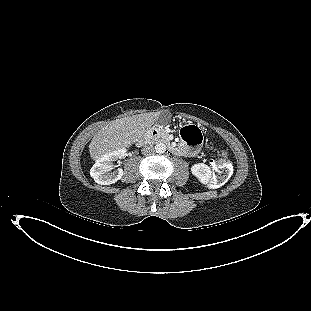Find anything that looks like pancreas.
<instances>
[{"mask_svg": "<svg viewBox=\"0 0 311 311\" xmlns=\"http://www.w3.org/2000/svg\"><path fill=\"white\" fill-rule=\"evenodd\" d=\"M162 137H163V138H166V137H167V133H166V132H163V133H162Z\"/></svg>", "mask_w": 311, "mask_h": 311, "instance_id": "pancreas-1", "label": "pancreas"}]
</instances>
